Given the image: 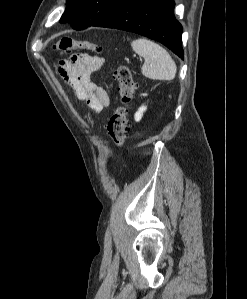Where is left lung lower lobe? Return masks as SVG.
Segmentation results:
<instances>
[{
  "label": "left lung lower lobe",
  "mask_w": 247,
  "mask_h": 299,
  "mask_svg": "<svg viewBox=\"0 0 247 299\" xmlns=\"http://www.w3.org/2000/svg\"><path fill=\"white\" fill-rule=\"evenodd\" d=\"M174 0H122L92 26L116 28L156 40L181 59L182 26L174 16Z\"/></svg>",
  "instance_id": "1"
}]
</instances>
